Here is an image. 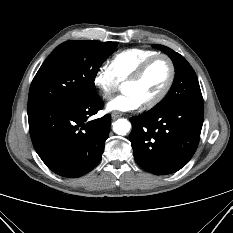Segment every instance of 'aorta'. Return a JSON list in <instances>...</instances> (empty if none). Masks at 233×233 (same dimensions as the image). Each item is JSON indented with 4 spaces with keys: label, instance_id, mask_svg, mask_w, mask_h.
Returning a JSON list of instances; mask_svg holds the SVG:
<instances>
[{
    "label": "aorta",
    "instance_id": "aorta-1",
    "mask_svg": "<svg viewBox=\"0 0 233 233\" xmlns=\"http://www.w3.org/2000/svg\"><path fill=\"white\" fill-rule=\"evenodd\" d=\"M131 128V124L127 119H118L113 123V130L118 135H126Z\"/></svg>",
    "mask_w": 233,
    "mask_h": 233
}]
</instances>
